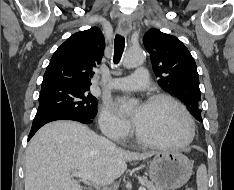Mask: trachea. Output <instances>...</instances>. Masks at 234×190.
<instances>
[{"instance_id": "trachea-1", "label": "trachea", "mask_w": 234, "mask_h": 190, "mask_svg": "<svg viewBox=\"0 0 234 190\" xmlns=\"http://www.w3.org/2000/svg\"><path fill=\"white\" fill-rule=\"evenodd\" d=\"M124 47H125L124 37L117 34L114 40V57H113L114 64H118L120 62L124 51Z\"/></svg>"}]
</instances>
